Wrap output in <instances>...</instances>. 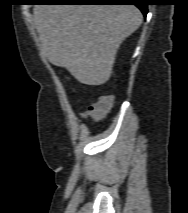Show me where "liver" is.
<instances>
[{"label":"liver","instance_id":"obj_1","mask_svg":"<svg viewBox=\"0 0 188 213\" xmlns=\"http://www.w3.org/2000/svg\"><path fill=\"white\" fill-rule=\"evenodd\" d=\"M33 14L49 62L93 86L109 80L121 43L143 19L134 5H35Z\"/></svg>","mask_w":188,"mask_h":213}]
</instances>
